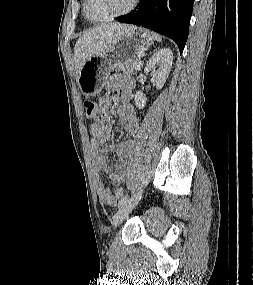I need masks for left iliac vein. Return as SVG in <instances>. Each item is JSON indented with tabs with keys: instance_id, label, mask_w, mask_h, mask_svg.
I'll return each mask as SVG.
<instances>
[{
	"instance_id": "4c4485c4",
	"label": "left iliac vein",
	"mask_w": 253,
	"mask_h": 285,
	"mask_svg": "<svg viewBox=\"0 0 253 285\" xmlns=\"http://www.w3.org/2000/svg\"><path fill=\"white\" fill-rule=\"evenodd\" d=\"M141 198V192L128 199L125 204L119 207L113 218V226L117 227L133 210Z\"/></svg>"
}]
</instances>
